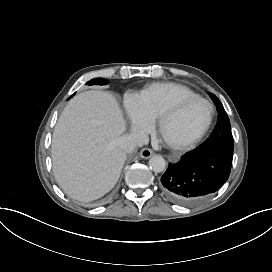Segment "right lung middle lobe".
<instances>
[{
  "label": "right lung middle lobe",
  "mask_w": 272,
  "mask_h": 272,
  "mask_svg": "<svg viewBox=\"0 0 272 272\" xmlns=\"http://www.w3.org/2000/svg\"><path fill=\"white\" fill-rule=\"evenodd\" d=\"M107 83H108V81L103 78H96V79H92L91 81H89L88 85H105Z\"/></svg>",
  "instance_id": "dd1d6c3e"
}]
</instances>
